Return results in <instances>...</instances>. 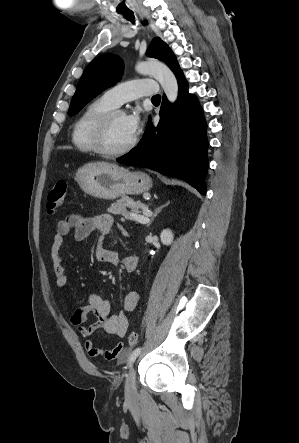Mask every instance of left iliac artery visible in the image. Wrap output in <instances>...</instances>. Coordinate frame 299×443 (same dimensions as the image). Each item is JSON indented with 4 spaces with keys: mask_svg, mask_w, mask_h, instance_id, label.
Segmentation results:
<instances>
[{
    "mask_svg": "<svg viewBox=\"0 0 299 443\" xmlns=\"http://www.w3.org/2000/svg\"><path fill=\"white\" fill-rule=\"evenodd\" d=\"M140 352H141V348L139 347V348H136V349L130 354V357H129V360H128V364H129V365H131V364L135 361V359L138 357V355L140 354Z\"/></svg>",
    "mask_w": 299,
    "mask_h": 443,
    "instance_id": "obj_1",
    "label": "left iliac artery"
}]
</instances>
